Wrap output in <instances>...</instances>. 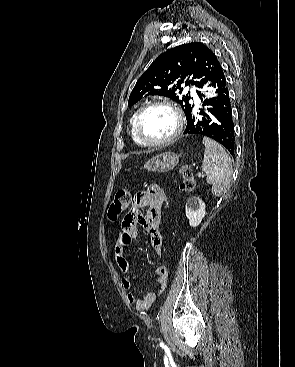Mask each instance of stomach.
I'll return each instance as SVG.
<instances>
[{
	"mask_svg": "<svg viewBox=\"0 0 295 367\" xmlns=\"http://www.w3.org/2000/svg\"><path fill=\"white\" fill-rule=\"evenodd\" d=\"M179 157L180 156L174 152H164L148 160L144 168L152 172H168L178 164Z\"/></svg>",
	"mask_w": 295,
	"mask_h": 367,
	"instance_id": "1",
	"label": "stomach"
}]
</instances>
